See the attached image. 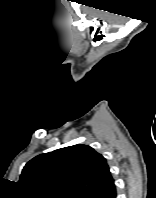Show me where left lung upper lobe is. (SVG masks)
<instances>
[{
	"label": "left lung upper lobe",
	"instance_id": "1",
	"mask_svg": "<svg viewBox=\"0 0 156 198\" xmlns=\"http://www.w3.org/2000/svg\"><path fill=\"white\" fill-rule=\"evenodd\" d=\"M111 178L106 159L87 145H73L36 156L19 184L28 198H89Z\"/></svg>",
	"mask_w": 156,
	"mask_h": 198
}]
</instances>
